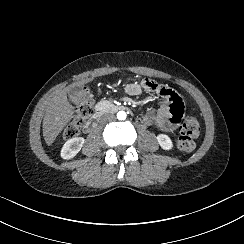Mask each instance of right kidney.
<instances>
[{"instance_id":"right-kidney-1","label":"right kidney","mask_w":244,"mask_h":244,"mask_svg":"<svg viewBox=\"0 0 244 244\" xmlns=\"http://www.w3.org/2000/svg\"><path fill=\"white\" fill-rule=\"evenodd\" d=\"M85 143L84 137H73L68 139L61 148L60 157L63 160H70L81 151Z\"/></svg>"}]
</instances>
